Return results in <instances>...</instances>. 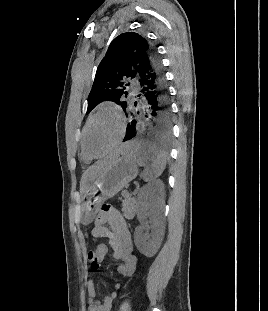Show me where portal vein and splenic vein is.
<instances>
[{
	"instance_id": "obj_1",
	"label": "portal vein and splenic vein",
	"mask_w": 268,
	"mask_h": 311,
	"mask_svg": "<svg viewBox=\"0 0 268 311\" xmlns=\"http://www.w3.org/2000/svg\"><path fill=\"white\" fill-rule=\"evenodd\" d=\"M123 195H128V193H127V192H124Z\"/></svg>"
}]
</instances>
